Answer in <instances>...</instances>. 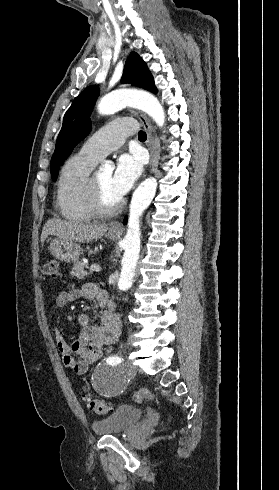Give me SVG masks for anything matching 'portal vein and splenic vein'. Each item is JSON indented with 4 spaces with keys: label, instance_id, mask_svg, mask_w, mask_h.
<instances>
[{
    "label": "portal vein and splenic vein",
    "instance_id": "obj_1",
    "mask_svg": "<svg viewBox=\"0 0 279 490\" xmlns=\"http://www.w3.org/2000/svg\"><path fill=\"white\" fill-rule=\"evenodd\" d=\"M90 270H93V272H100L101 268L100 266H96V264H92V266H90Z\"/></svg>",
    "mask_w": 279,
    "mask_h": 490
}]
</instances>
